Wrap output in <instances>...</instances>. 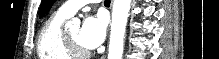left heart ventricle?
Masks as SVG:
<instances>
[{"mask_svg": "<svg viewBox=\"0 0 219 59\" xmlns=\"http://www.w3.org/2000/svg\"><path fill=\"white\" fill-rule=\"evenodd\" d=\"M69 36L72 38V40L81 48H85L79 39V33H80V28L78 26L72 27L67 30Z\"/></svg>", "mask_w": 219, "mask_h": 59, "instance_id": "obj_1", "label": "left heart ventricle"}]
</instances>
